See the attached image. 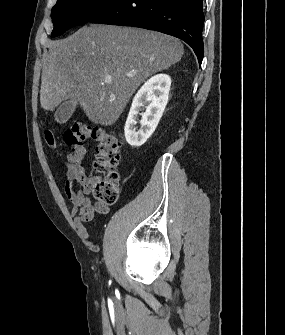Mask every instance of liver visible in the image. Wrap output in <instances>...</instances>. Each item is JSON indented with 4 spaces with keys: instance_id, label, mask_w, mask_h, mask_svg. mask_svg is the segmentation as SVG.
Masks as SVG:
<instances>
[{
    "instance_id": "1",
    "label": "liver",
    "mask_w": 285,
    "mask_h": 335,
    "mask_svg": "<svg viewBox=\"0 0 285 335\" xmlns=\"http://www.w3.org/2000/svg\"><path fill=\"white\" fill-rule=\"evenodd\" d=\"M40 104L53 112L61 102H78L88 120L112 126L137 88L157 72L180 62L183 44L166 34L90 24L75 34L48 42ZM132 74L133 78H128ZM111 76L112 82H103Z\"/></svg>"
}]
</instances>
